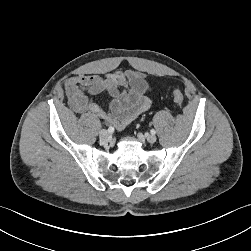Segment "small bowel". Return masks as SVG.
I'll use <instances>...</instances> for the list:
<instances>
[{
    "label": "small bowel",
    "mask_w": 251,
    "mask_h": 251,
    "mask_svg": "<svg viewBox=\"0 0 251 251\" xmlns=\"http://www.w3.org/2000/svg\"><path fill=\"white\" fill-rule=\"evenodd\" d=\"M70 107L79 114H92L122 130L151 107L147 93L151 86L145 74L136 70L114 71L104 75L85 74L71 77L65 84ZM108 93V109L92 96Z\"/></svg>",
    "instance_id": "c3829d8e"
}]
</instances>
